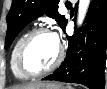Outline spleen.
Listing matches in <instances>:
<instances>
[{"instance_id":"1","label":"spleen","mask_w":107,"mask_h":89,"mask_svg":"<svg viewBox=\"0 0 107 89\" xmlns=\"http://www.w3.org/2000/svg\"><path fill=\"white\" fill-rule=\"evenodd\" d=\"M66 88H67V89H72V87H70V86H67Z\"/></svg>"}]
</instances>
